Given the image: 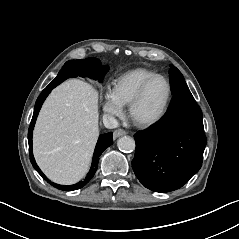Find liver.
<instances>
[{"mask_svg": "<svg viewBox=\"0 0 239 239\" xmlns=\"http://www.w3.org/2000/svg\"><path fill=\"white\" fill-rule=\"evenodd\" d=\"M98 92L69 79L45 100L33 132V154L53 182L71 185L88 172L99 136Z\"/></svg>", "mask_w": 239, "mask_h": 239, "instance_id": "liver-1", "label": "liver"}]
</instances>
